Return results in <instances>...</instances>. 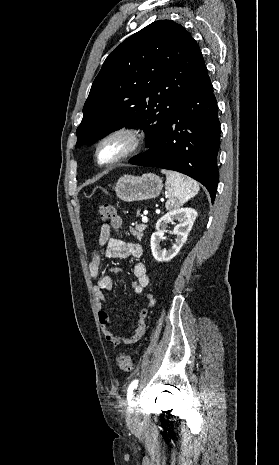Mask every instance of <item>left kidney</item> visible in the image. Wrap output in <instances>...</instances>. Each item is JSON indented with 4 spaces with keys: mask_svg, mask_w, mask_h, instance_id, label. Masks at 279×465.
I'll list each match as a JSON object with an SVG mask.
<instances>
[{
    "mask_svg": "<svg viewBox=\"0 0 279 465\" xmlns=\"http://www.w3.org/2000/svg\"><path fill=\"white\" fill-rule=\"evenodd\" d=\"M197 217V212L193 208H177L166 213L156 223V232L151 236V251L155 260L168 262L180 251L187 240V236ZM178 221L173 233L176 235L175 243L169 250H162L160 242L164 232L170 223Z\"/></svg>",
    "mask_w": 279,
    "mask_h": 465,
    "instance_id": "obj_1",
    "label": "left kidney"
}]
</instances>
